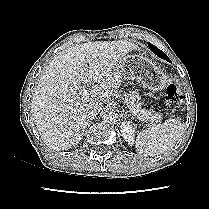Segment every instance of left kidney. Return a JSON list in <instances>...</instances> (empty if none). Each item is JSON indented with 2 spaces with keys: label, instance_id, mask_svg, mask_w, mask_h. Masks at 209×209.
<instances>
[{
  "label": "left kidney",
  "instance_id": "obj_1",
  "mask_svg": "<svg viewBox=\"0 0 209 209\" xmlns=\"http://www.w3.org/2000/svg\"><path fill=\"white\" fill-rule=\"evenodd\" d=\"M121 128V134L123 136V138L125 139V141L128 142V144H134V138H135V134H134V128L133 126L130 124V122L126 121L123 122L120 126Z\"/></svg>",
  "mask_w": 209,
  "mask_h": 209
}]
</instances>
